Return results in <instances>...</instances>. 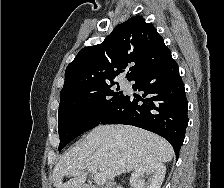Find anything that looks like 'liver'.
<instances>
[{
	"mask_svg": "<svg viewBox=\"0 0 224 188\" xmlns=\"http://www.w3.org/2000/svg\"><path fill=\"white\" fill-rule=\"evenodd\" d=\"M173 156L172 146L154 133L128 125H100L62 156L52 182L56 188H85L89 167L112 179L152 162H170ZM68 175L74 178L64 183Z\"/></svg>",
	"mask_w": 224,
	"mask_h": 188,
	"instance_id": "liver-1",
	"label": "liver"
}]
</instances>
